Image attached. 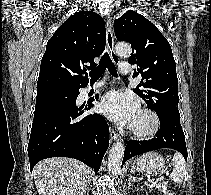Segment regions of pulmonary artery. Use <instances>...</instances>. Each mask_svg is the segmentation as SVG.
I'll list each match as a JSON object with an SVG mask.
<instances>
[{
  "instance_id": "obj_1",
  "label": "pulmonary artery",
  "mask_w": 211,
  "mask_h": 195,
  "mask_svg": "<svg viewBox=\"0 0 211 195\" xmlns=\"http://www.w3.org/2000/svg\"><path fill=\"white\" fill-rule=\"evenodd\" d=\"M119 71L123 75L129 74L130 71H131L130 64L129 63H120L119 64ZM103 85H104V82L100 81V82H97L94 86H92V88L96 89V88H99Z\"/></svg>"
}]
</instances>
